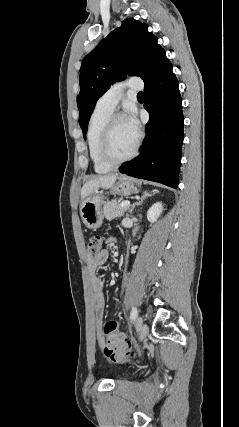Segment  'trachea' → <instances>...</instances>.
Wrapping results in <instances>:
<instances>
[{"instance_id": "3493384b", "label": "trachea", "mask_w": 239, "mask_h": 427, "mask_svg": "<svg viewBox=\"0 0 239 427\" xmlns=\"http://www.w3.org/2000/svg\"><path fill=\"white\" fill-rule=\"evenodd\" d=\"M138 97H144L143 92H139V93H138Z\"/></svg>"}]
</instances>
